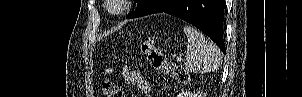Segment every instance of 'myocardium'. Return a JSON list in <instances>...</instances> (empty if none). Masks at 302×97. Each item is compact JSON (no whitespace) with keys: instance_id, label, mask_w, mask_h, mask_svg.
<instances>
[{"instance_id":"1","label":"myocardium","mask_w":302,"mask_h":97,"mask_svg":"<svg viewBox=\"0 0 302 97\" xmlns=\"http://www.w3.org/2000/svg\"><path fill=\"white\" fill-rule=\"evenodd\" d=\"M132 0H107L106 10L112 15H123L131 6Z\"/></svg>"}]
</instances>
